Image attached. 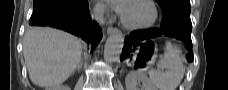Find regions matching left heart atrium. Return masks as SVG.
<instances>
[{"instance_id":"1","label":"left heart atrium","mask_w":228,"mask_h":90,"mask_svg":"<svg viewBox=\"0 0 228 90\" xmlns=\"http://www.w3.org/2000/svg\"><path fill=\"white\" fill-rule=\"evenodd\" d=\"M117 6V5H116ZM118 11L122 14L123 10H124V5L122 4L121 6H117Z\"/></svg>"}]
</instances>
